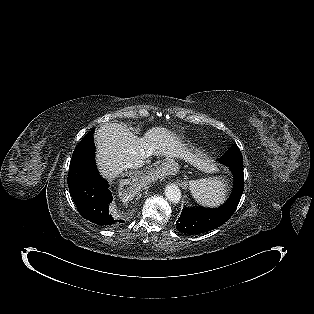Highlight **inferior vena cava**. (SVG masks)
I'll use <instances>...</instances> for the list:
<instances>
[{
  "label": "inferior vena cava",
  "mask_w": 314,
  "mask_h": 314,
  "mask_svg": "<svg viewBox=\"0 0 314 314\" xmlns=\"http://www.w3.org/2000/svg\"><path fill=\"white\" fill-rule=\"evenodd\" d=\"M143 165H144V161L143 160H136V161L128 163L126 165V168L137 169L139 167H142Z\"/></svg>",
  "instance_id": "obj_1"
}]
</instances>
